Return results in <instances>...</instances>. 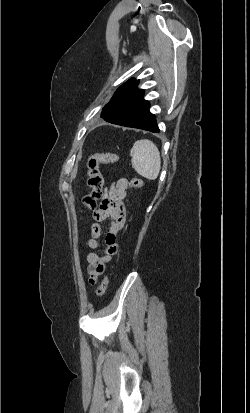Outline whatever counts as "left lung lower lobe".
Here are the masks:
<instances>
[{
  "label": "left lung lower lobe",
  "instance_id": "left-lung-lower-lobe-1",
  "mask_svg": "<svg viewBox=\"0 0 250 413\" xmlns=\"http://www.w3.org/2000/svg\"><path fill=\"white\" fill-rule=\"evenodd\" d=\"M143 95L144 90L136 89L122 100L117 112L103 119L125 127L159 132L155 116L149 111L150 104L143 99Z\"/></svg>",
  "mask_w": 250,
  "mask_h": 413
}]
</instances>
